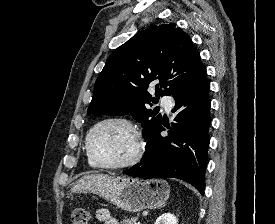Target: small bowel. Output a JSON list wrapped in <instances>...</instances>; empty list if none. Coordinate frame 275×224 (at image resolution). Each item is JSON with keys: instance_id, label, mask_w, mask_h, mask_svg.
Returning <instances> with one entry per match:
<instances>
[{"instance_id": "c3829d8e", "label": "small bowel", "mask_w": 275, "mask_h": 224, "mask_svg": "<svg viewBox=\"0 0 275 224\" xmlns=\"http://www.w3.org/2000/svg\"><path fill=\"white\" fill-rule=\"evenodd\" d=\"M96 219L103 224H119L117 219L111 217L109 211L106 209L97 210Z\"/></svg>"}]
</instances>
